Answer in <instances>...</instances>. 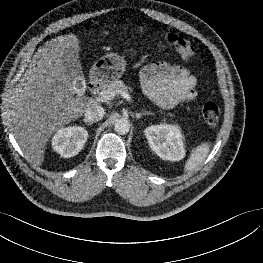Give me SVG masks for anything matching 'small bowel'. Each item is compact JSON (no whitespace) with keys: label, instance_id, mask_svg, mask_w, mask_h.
<instances>
[{"label":"small bowel","instance_id":"1","mask_svg":"<svg viewBox=\"0 0 263 263\" xmlns=\"http://www.w3.org/2000/svg\"><path fill=\"white\" fill-rule=\"evenodd\" d=\"M141 83L145 95L164 108H172L197 96L196 78L190 71L167 62L145 66L141 71Z\"/></svg>","mask_w":263,"mask_h":263}]
</instances>
